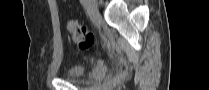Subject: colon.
Returning a JSON list of instances; mask_svg holds the SVG:
<instances>
[{
	"instance_id": "obj_1",
	"label": "colon",
	"mask_w": 209,
	"mask_h": 90,
	"mask_svg": "<svg viewBox=\"0 0 209 90\" xmlns=\"http://www.w3.org/2000/svg\"><path fill=\"white\" fill-rule=\"evenodd\" d=\"M68 31L72 41L81 49H87L94 43V34L86 26L79 24L76 21H70Z\"/></svg>"
}]
</instances>
